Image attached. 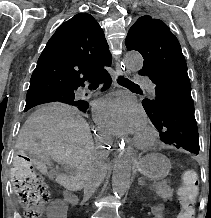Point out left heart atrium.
I'll return each mask as SVG.
<instances>
[{
    "instance_id": "obj_1",
    "label": "left heart atrium",
    "mask_w": 211,
    "mask_h": 218,
    "mask_svg": "<svg viewBox=\"0 0 211 218\" xmlns=\"http://www.w3.org/2000/svg\"><path fill=\"white\" fill-rule=\"evenodd\" d=\"M94 118L104 135L139 133L144 127V112L124 94H112L97 101Z\"/></svg>"
}]
</instances>
